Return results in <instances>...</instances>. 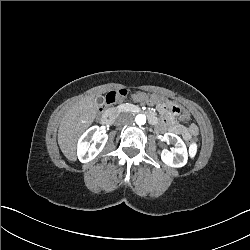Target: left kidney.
<instances>
[{"label":"left kidney","instance_id":"obj_1","mask_svg":"<svg viewBox=\"0 0 250 250\" xmlns=\"http://www.w3.org/2000/svg\"><path fill=\"white\" fill-rule=\"evenodd\" d=\"M163 139L173 144L172 151L163 149L161 152V160L168 166L180 168L186 165L188 160L187 148L183 140L174 133H165Z\"/></svg>","mask_w":250,"mask_h":250}]
</instances>
